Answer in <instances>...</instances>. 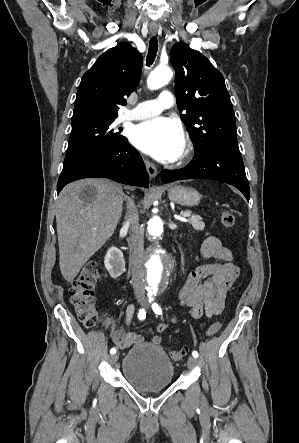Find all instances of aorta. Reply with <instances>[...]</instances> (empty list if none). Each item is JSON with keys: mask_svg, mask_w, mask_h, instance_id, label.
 Listing matches in <instances>:
<instances>
[{"mask_svg": "<svg viewBox=\"0 0 299 443\" xmlns=\"http://www.w3.org/2000/svg\"><path fill=\"white\" fill-rule=\"evenodd\" d=\"M173 76V72L169 67H157L154 69L148 79L147 86L151 90L159 89L167 84ZM147 236L154 242H158L165 234V228L162 220L158 216H153L147 225ZM167 255L159 246L151 249L145 258V272L148 297L150 299L159 296L165 278V266Z\"/></svg>", "mask_w": 299, "mask_h": 443, "instance_id": "1", "label": "aorta"}]
</instances>
